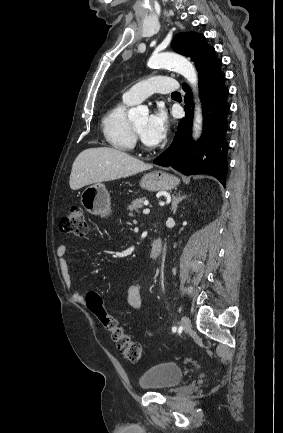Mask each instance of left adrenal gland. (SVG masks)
I'll return each mask as SVG.
<instances>
[{
	"label": "left adrenal gland",
	"mask_w": 283,
	"mask_h": 433,
	"mask_svg": "<svg viewBox=\"0 0 283 433\" xmlns=\"http://www.w3.org/2000/svg\"><path fill=\"white\" fill-rule=\"evenodd\" d=\"M180 192H181V190H180ZM180 192H177V196H175V194H172L171 206H172L173 214H175L179 202H181V200H183V198H185V196H180Z\"/></svg>",
	"instance_id": "left-adrenal-gland-1"
}]
</instances>
